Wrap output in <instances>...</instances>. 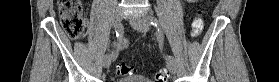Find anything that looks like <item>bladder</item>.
Instances as JSON below:
<instances>
[{
  "label": "bladder",
  "instance_id": "obj_1",
  "mask_svg": "<svg viewBox=\"0 0 279 82\" xmlns=\"http://www.w3.org/2000/svg\"><path fill=\"white\" fill-rule=\"evenodd\" d=\"M116 82H153L149 78L138 75V74H132V75H126L120 79H118Z\"/></svg>",
  "mask_w": 279,
  "mask_h": 82
}]
</instances>
